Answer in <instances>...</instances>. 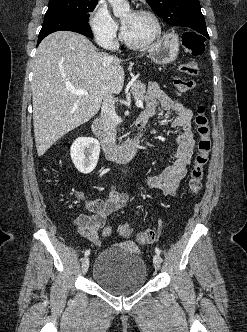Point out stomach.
<instances>
[{
    "mask_svg": "<svg viewBox=\"0 0 247 332\" xmlns=\"http://www.w3.org/2000/svg\"><path fill=\"white\" fill-rule=\"evenodd\" d=\"M178 52L179 38L175 33H169L150 48L149 55L154 63L165 65L174 61Z\"/></svg>",
    "mask_w": 247,
    "mask_h": 332,
    "instance_id": "obj_1",
    "label": "stomach"
}]
</instances>
